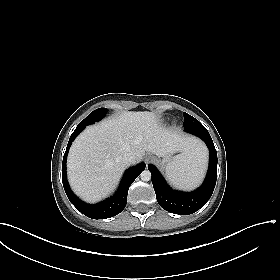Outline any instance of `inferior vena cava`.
<instances>
[{
  "instance_id": "inferior-vena-cava-1",
  "label": "inferior vena cava",
  "mask_w": 280,
  "mask_h": 280,
  "mask_svg": "<svg viewBox=\"0 0 280 280\" xmlns=\"http://www.w3.org/2000/svg\"><path fill=\"white\" fill-rule=\"evenodd\" d=\"M123 162L126 164V165H129V164H132L134 163L135 161V156L131 153H127L123 156L122 158Z\"/></svg>"
}]
</instances>
